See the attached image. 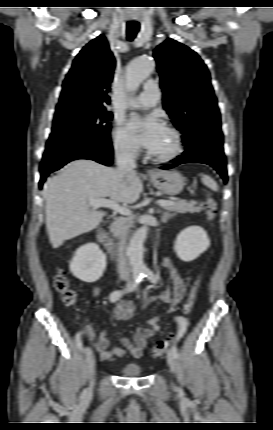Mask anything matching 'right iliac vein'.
Segmentation results:
<instances>
[{
  "label": "right iliac vein",
  "instance_id": "1",
  "mask_svg": "<svg viewBox=\"0 0 273 430\" xmlns=\"http://www.w3.org/2000/svg\"><path fill=\"white\" fill-rule=\"evenodd\" d=\"M85 353H86V362H87L88 371L91 376V382H90V387L87 390V396H91L93 392V384H94L93 376H94V370H95V357H94L93 351L89 347L86 348Z\"/></svg>",
  "mask_w": 273,
  "mask_h": 430
}]
</instances>
